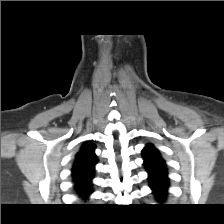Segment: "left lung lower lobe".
Wrapping results in <instances>:
<instances>
[{
  "label": "left lung lower lobe",
  "mask_w": 224,
  "mask_h": 224,
  "mask_svg": "<svg viewBox=\"0 0 224 224\" xmlns=\"http://www.w3.org/2000/svg\"><path fill=\"white\" fill-rule=\"evenodd\" d=\"M150 187L159 201L165 199L168 187V178L166 171H148Z\"/></svg>",
  "instance_id": "0a47b994"
}]
</instances>
